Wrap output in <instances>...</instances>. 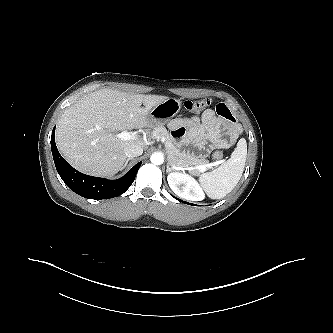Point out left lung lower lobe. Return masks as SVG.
I'll use <instances>...</instances> for the list:
<instances>
[{
    "label": "left lung lower lobe",
    "instance_id": "obj_1",
    "mask_svg": "<svg viewBox=\"0 0 333 333\" xmlns=\"http://www.w3.org/2000/svg\"><path fill=\"white\" fill-rule=\"evenodd\" d=\"M179 201H181V200H179ZM182 202H184V201H182ZM184 203H186V204H190V203H187V202H184Z\"/></svg>",
    "mask_w": 333,
    "mask_h": 333
}]
</instances>
